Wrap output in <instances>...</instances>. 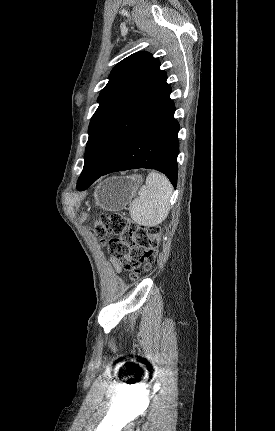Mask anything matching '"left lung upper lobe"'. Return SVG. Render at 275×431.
Returning <instances> with one entry per match:
<instances>
[{
  "mask_svg": "<svg viewBox=\"0 0 275 431\" xmlns=\"http://www.w3.org/2000/svg\"><path fill=\"white\" fill-rule=\"evenodd\" d=\"M92 116L84 168L78 181L105 170L168 101L171 86L158 58L141 51L119 62Z\"/></svg>",
  "mask_w": 275,
  "mask_h": 431,
  "instance_id": "obj_1",
  "label": "left lung upper lobe"
}]
</instances>
